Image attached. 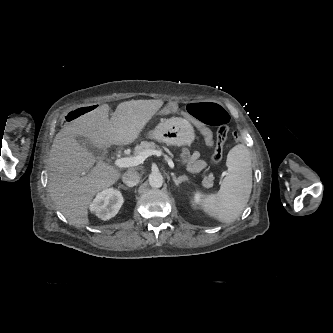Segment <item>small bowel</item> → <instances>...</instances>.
<instances>
[{
	"label": "small bowel",
	"mask_w": 333,
	"mask_h": 333,
	"mask_svg": "<svg viewBox=\"0 0 333 333\" xmlns=\"http://www.w3.org/2000/svg\"><path fill=\"white\" fill-rule=\"evenodd\" d=\"M177 108H178L177 104L171 102V103H168L167 105H164L163 107L162 106L157 107L155 112H156L157 116L165 117L173 112H176ZM186 118H187V120L192 122L193 125H195L196 127H198V128L201 127V125H202L201 122H199V120L195 119V117H193V115L189 114V115H187ZM201 130L203 132L202 135H203L204 140H206V141L209 140L210 137H209V133L207 131L208 130L207 126H205V125L202 126ZM205 145H206V147L210 148V147H212L213 144H212V142L208 141V142H206ZM183 157H184L185 162L187 163L188 169L191 172H195V173L200 172L205 166L203 160L200 159L199 154L197 152H194L192 154L184 152Z\"/></svg>",
	"instance_id": "1"
}]
</instances>
